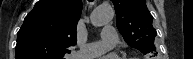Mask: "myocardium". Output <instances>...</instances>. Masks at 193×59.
I'll use <instances>...</instances> for the list:
<instances>
[{
  "mask_svg": "<svg viewBox=\"0 0 193 59\" xmlns=\"http://www.w3.org/2000/svg\"><path fill=\"white\" fill-rule=\"evenodd\" d=\"M125 59H138V58L130 57V58H125Z\"/></svg>",
  "mask_w": 193,
  "mask_h": 59,
  "instance_id": "1",
  "label": "myocardium"
}]
</instances>
